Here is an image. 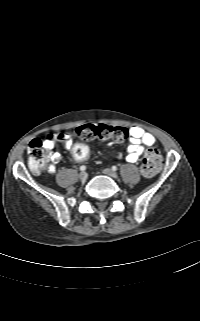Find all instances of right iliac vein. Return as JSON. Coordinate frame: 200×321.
<instances>
[{
    "mask_svg": "<svg viewBox=\"0 0 200 321\" xmlns=\"http://www.w3.org/2000/svg\"><path fill=\"white\" fill-rule=\"evenodd\" d=\"M87 177H88V175H87L86 172H81L79 174V178H80L81 181H86Z\"/></svg>",
    "mask_w": 200,
    "mask_h": 321,
    "instance_id": "1",
    "label": "right iliac vein"
}]
</instances>
